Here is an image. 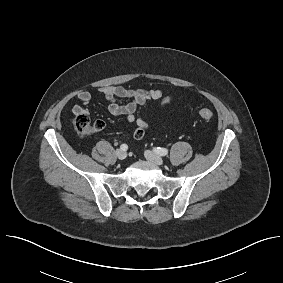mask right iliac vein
<instances>
[{"label": "right iliac vein", "mask_w": 283, "mask_h": 283, "mask_svg": "<svg viewBox=\"0 0 283 283\" xmlns=\"http://www.w3.org/2000/svg\"><path fill=\"white\" fill-rule=\"evenodd\" d=\"M116 156H117L118 159L123 160L127 157V153L125 151L121 150V149H118L116 151Z\"/></svg>", "instance_id": "right-iliac-vein-1"}]
</instances>
